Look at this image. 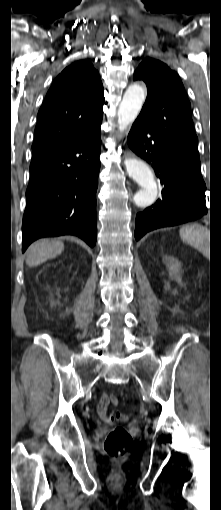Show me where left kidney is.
I'll list each match as a JSON object with an SVG mask.
<instances>
[{"mask_svg":"<svg viewBox=\"0 0 221 510\" xmlns=\"http://www.w3.org/2000/svg\"><path fill=\"white\" fill-rule=\"evenodd\" d=\"M164 263L166 264V266L168 267V269L174 273L178 272L181 265L179 263L178 260H175L174 258L172 257H165L163 259Z\"/></svg>","mask_w":221,"mask_h":510,"instance_id":"1","label":"left kidney"}]
</instances>
